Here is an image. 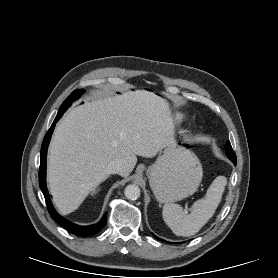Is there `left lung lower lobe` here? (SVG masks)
<instances>
[{
  "instance_id": "left-lung-lower-lobe-1",
  "label": "left lung lower lobe",
  "mask_w": 278,
  "mask_h": 278,
  "mask_svg": "<svg viewBox=\"0 0 278 278\" xmlns=\"http://www.w3.org/2000/svg\"><path fill=\"white\" fill-rule=\"evenodd\" d=\"M235 165H236V161L235 160H231ZM156 237V236H155ZM157 239L161 240L160 238L156 237ZM163 241V240H162Z\"/></svg>"
}]
</instances>
